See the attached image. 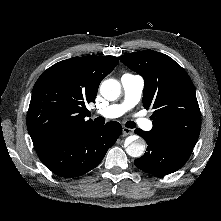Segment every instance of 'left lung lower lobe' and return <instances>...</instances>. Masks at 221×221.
Instances as JSON below:
<instances>
[{
	"label": "left lung lower lobe",
	"instance_id": "1",
	"mask_svg": "<svg viewBox=\"0 0 221 221\" xmlns=\"http://www.w3.org/2000/svg\"><path fill=\"white\" fill-rule=\"evenodd\" d=\"M135 133L145 139L147 152L134 163L136 167L150 174L167 175L177 171L186 163L193 150L155 137L141 129H136Z\"/></svg>",
	"mask_w": 221,
	"mask_h": 221
}]
</instances>
